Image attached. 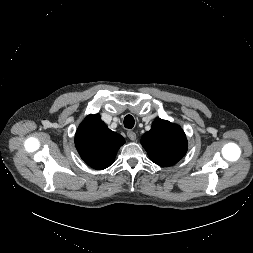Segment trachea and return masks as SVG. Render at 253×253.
I'll return each mask as SVG.
<instances>
[{
    "label": "trachea",
    "mask_w": 253,
    "mask_h": 253,
    "mask_svg": "<svg viewBox=\"0 0 253 253\" xmlns=\"http://www.w3.org/2000/svg\"><path fill=\"white\" fill-rule=\"evenodd\" d=\"M134 124H135V121H134L133 116L127 115L124 118V126H125V128L131 129V128L134 127Z\"/></svg>",
    "instance_id": "obj_1"
}]
</instances>
